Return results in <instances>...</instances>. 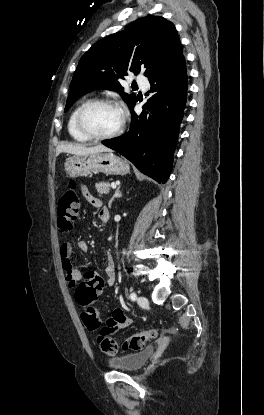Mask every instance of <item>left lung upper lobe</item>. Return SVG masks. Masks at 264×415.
Here are the masks:
<instances>
[{
    "label": "left lung upper lobe",
    "mask_w": 264,
    "mask_h": 415,
    "mask_svg": "<svg viewBox=\"0 0 264 415\" xmlns=\"http://www.w3.org/2000/svg\"><path fill=\"white\" fill-rule=\"evenodd\" d=\"M183 55L182 45L173 23L160 16H146L125 30L95 43L80 59L74 72L66 102L67 111L82 95L96 89L121 93L128 107L136 101L134 94L123 92L119 80L127 71L151 78Z\"/></svg>",
    "instance_id": "left-lung-upper-lobe-1"
}]
</instances>
